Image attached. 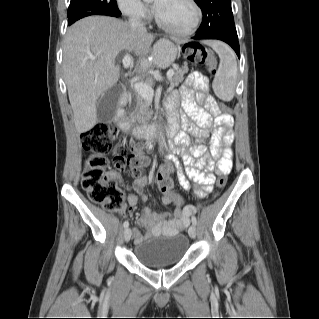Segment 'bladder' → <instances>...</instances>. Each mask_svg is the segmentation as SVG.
Segmentation results:
<instances>
[{
    "instance_id": "bladder-1",
    "label": "bladder",
    "mask_w": 319,
    "mask_h": 319,
    "mask_svg": "<svg viewBox=\"0 0 319 319\" xmlns=\"http://www.w3.org/2000/svg\"><path fill=\"white\" fill-rule=\"evenodd\" d=\"M190 249V240L184 234L149 236L136 243L134 256L142 265L165 267L181 262Z\"/></svg>"
}]
</instances>
